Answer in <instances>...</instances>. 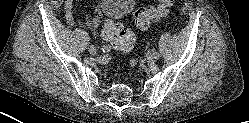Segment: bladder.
<instances>
[{
    "label": "bladder",
    "instance_id": "1",
    "mask_svg": "<svg viewBox=\"0 0 249 123\" xmlns=\"http://www.w3.org/2000/svg\"><path fill=\"white\" fill-rule=\"evenodd\" d=\"M134 5L135 0H101L100 3L103 16L114 22L129 14Z\"/></svg>",
    "mask_w": 249,
    "mask_h": 123
}]
</instances>
